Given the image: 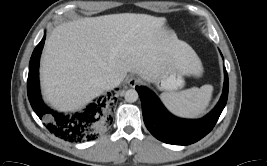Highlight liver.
Instances as JSON below:
<instances>
[{
  "label": "liver",
  "mask_w": 267,
  "mask_h": 166,
  "mask_svg": "<svg viewBox=\"0 0 267 166\" xmlns=\"http://www.w3.org/2000/svg\"><path fill=\"white\" fill-rule=\"evenodd\" d=\"M173 59L183 75L200 76L194 50L175 39L166 19L120 13L83 18L56 26L41 58L46 100L59 110H76L107 90V75L121 81L128 72L153 80Z\"/></svg>",
  "instance_id": "1"
}]
</instances>
